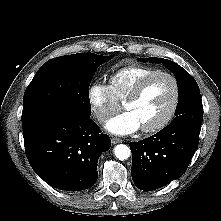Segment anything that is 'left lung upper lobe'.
<instances>
[{
  "instance_id": "left-lung-upper-lobe-1",
  "label": "left lung upper lobe",
  "mask_w": 221,
  "mask_h": 221,
  "mask_svg": "<svg viewBox=\"0 0 221 221\" xmlns=\"http://www.w3.org/2000/svg\"><path fill=\"white\" fill-rule=\"evenodd\" d=\"M141 61L162 63L177 77L179 100L176 107V117L171 123L197 119L203 120V106L199 87L194 78L177 63L164 58H142ZM170 123V124H171Z\"/></svg>"
}]
</instances>
